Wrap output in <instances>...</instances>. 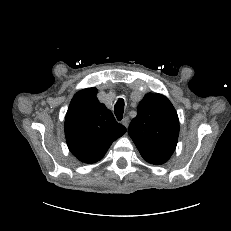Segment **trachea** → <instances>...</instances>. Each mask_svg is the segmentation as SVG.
<instances>
[{
	"instance_id": "obj_1",
	"label": "trachea",
	"mask_w": 231,
	"mask_h": 231,
	"mask_svg": "<svg viewBox=\"0 0 231 231\" xmlns=\"http://www.w3.org/2000/svg\"><path fill=\"white\" fill-rule=\"evenodd\" d=\"M114 113L117 119L121 121L123 118V113H124V100L122 98H120L115 104Z\"/></svg>"
}]
</instances>
